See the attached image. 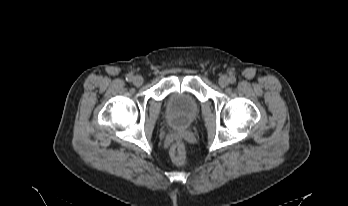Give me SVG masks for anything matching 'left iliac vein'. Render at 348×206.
Listing matches in <instances>:
<instances>
[{"label":"left iliac vein","mask_w":348,"mask_h":206,"mask_svg":"<svg viewBox=\"0 0 348 206\" xmlns=\"http://www.w3.org/2000/svg\"><path fill=\"white\" fill-rule=\"evenodd\" d=\"M228 84H229V79L227 76L223 75L219 78V85L222 88H225L226 86H228Z\"/></svg>","instance_id":"obj_1"}]
</instances>
